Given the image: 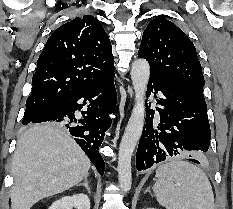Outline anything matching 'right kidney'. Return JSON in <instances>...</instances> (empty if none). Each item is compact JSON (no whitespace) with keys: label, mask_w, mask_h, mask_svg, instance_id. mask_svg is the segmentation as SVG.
<instances>
[{"label":"right kidney","mask_w":233,"mask_h":209,"mask_svg":"<svg viewBox=\"0 0 233 209\" xmlns=\"http://www.w3.org/2000/svg\"><path fill=\"white\" fill-rule=\"evenodd\" d=\"M90 209V199L85 194L66 196L55 201L49 209Z\"/></svg>","instance_id":"ca27d5eb"}]
</instances>
